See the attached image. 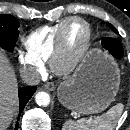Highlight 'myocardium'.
Here are the masks:
<instances>
[{"label":"myocardium","instance_id":"obj_1","mask_svg":"<svg viewBox=\"0 0 130 130\" xmlns=\"http://www.w3.org/2000/svg\"><path fill=\"white\" fill-rule=\"evenodd\" d=\"M75 21H79L85 26L86 38L81 49L73 56H68L66 47V33L70 24ZM91 37L92 31L87 21L80 17L69 18L57 36L56 44L50 57L51 70L59 76H66L72 73L86 56L90 46Z\"/></svg>","mask_w":130,"mask_h":130}]
</instances>
